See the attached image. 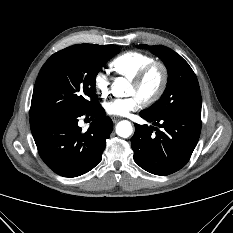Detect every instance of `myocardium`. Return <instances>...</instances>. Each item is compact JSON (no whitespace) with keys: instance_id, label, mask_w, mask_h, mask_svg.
<instances>
[{"instance_id":"f54148a6","label":"myocardium","mask_w":233,"mask_h":233,"mask_svg":"<svg viewBox=\"0 0 233 233\" xmlns=\"http://www.w3.org/2000/svg\"><path fill=\"white\" fill-rule=\"evenodd\" d=\"M155 68H158L161 72V81H160L159 87L157 88V90L155 91V93L153 95L141 100V102L144 106H150V105L154 104L164 94V92L167 88V85H168V81H169L168 67L166 66V64L164 62L154 60V61L148 63L147 65H145L143 68H141L136 73V75L130 79L131 83L133 85H135L136 87H141L142 84L144 83L146 77L148 76V74Z\"/></svg>"}]
</instances>
